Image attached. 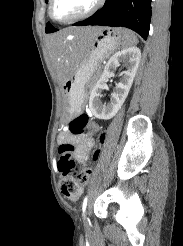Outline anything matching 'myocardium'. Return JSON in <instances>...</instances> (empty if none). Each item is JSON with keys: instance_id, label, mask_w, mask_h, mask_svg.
<instances>
[{"instance_id": "myocardium-1", "label": "myocardium", "mask_w": 183, "mask_h": 246, "mask_svg": "<svg viewBox=\"0 0 183 246\" xmlns=\"http://www.w3.org/2000/svg\"><path fill=\"white\" fill-rule=\"evenodd\" d=\"M104 1L105 0H95L92 7L90 9H88L86 12H84L83 14H80L78 16H75V17H72L69 19L61 20V19H57L53 13V7H54L55 0H50L48 13H49L50 18L55 22L62 23V24L73 23V22L83 20V19L88 18L89 16L93 15L103 5Z\"/></svg>"}]
</instances>
